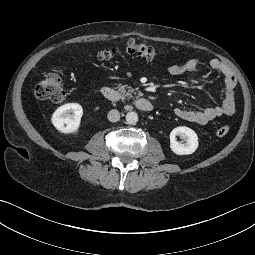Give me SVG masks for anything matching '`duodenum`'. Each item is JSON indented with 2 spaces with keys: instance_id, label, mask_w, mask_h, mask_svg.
Segmentation results:
<instances>
[{
  "instance_id": "1",
  "label": "duodenum",
  "mask_w": 255,
  "mask_h": 255,
  "mask_svg": "<svg viewBox=\"0 0 255 255\" xmlns=\"http://www.w3.org/2000/svg\"><path fill=\"white\" fill-rule=\"evenodd\" d=\"M101 93L109 102H115L118 100V92L109 86H102ZM134 105L142 112H151L153 110V104L146 98H138L134 101Z\"/></svg>"
}]
</instances>
